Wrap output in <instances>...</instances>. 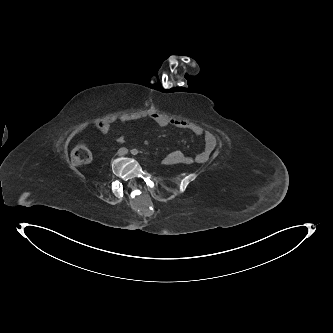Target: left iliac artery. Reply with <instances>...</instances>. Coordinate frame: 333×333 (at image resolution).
<instances>
[{"mask_svg":"<svg viewBox=\"0 0 333 333\" xmlns=\"http://www.w3.org/2000/svg\"><path fill=\"white\" fill-rule=\"evenodd\" d=\"M137 153V151L134 149V154H136Z\"/></svg>","mask_w":333,"mask_h":333,"instance_id":"left-iliac-artery-1","label":"left iliac artery"}]
</instances>
